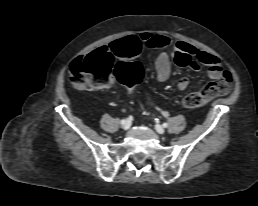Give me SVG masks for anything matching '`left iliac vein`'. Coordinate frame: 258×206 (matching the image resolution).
Returning <instances> with one entry per match:
<instances>
[{
	"mask_svg": "<svg viewBox=\"0 0 258 206\" xmlns=\"http://www.w3.org/2000/svg\"><path fill=\"white\" fill-rule=\"evenodd\" d=\"M155 130H156L159 134H164V132H165L164 127L161 126V125H159V124L155 125Z\"/></svg>",
	"mask_w": 258,
	"mask_h": 206,
	"instance_id": "4c4485c4",
	"label": "left iliac vein"
}]
</instances>
